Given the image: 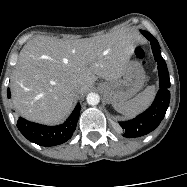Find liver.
I'll return each mask as SVG.
<instances>
[{
	"label": "liver",
	"instance_id": "6515ba94",
	"mask_svg": "<svg viewBox=\"0 0 187 187\" xmlns=\"http://www.w3.org/2000/svg\"><path fill=\"white\" fill-rule=\"evenodd\" d=\"M137 39L129 30L79 40L32 38L20 51L13 72L14 107L30 121L62 122L74 98L86 93L98 78L115 81L122 77Z\"/></svg>",
	"mask_w": 187,
	"mask_h": 187
}]
</instances>
